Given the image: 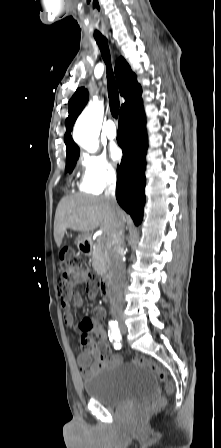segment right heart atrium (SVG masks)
Segmentation results:
<instances>
[{"instance_id":"right-heart-atrium-1","label":"right heart atrium","mask_w":221,"mask_h":448,"mask_svg":"<svg viewBox=\"0 0 221 448\" xmlns=\"http://www.w3.org/2000/svg\"><path fill=\"white\" fill-rule=\"evenodd\" d=\"M82 176L80 187L90 193L101 192L117 180V169L102 154H84L81 157Z\"/></svg>"}]
</instances>
